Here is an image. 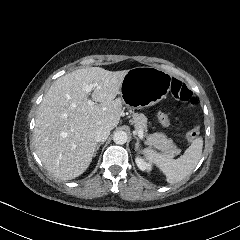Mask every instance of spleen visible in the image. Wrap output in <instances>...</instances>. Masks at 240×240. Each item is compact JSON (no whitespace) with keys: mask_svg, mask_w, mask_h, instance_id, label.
<instances>
[{"mask_svg":"<svg viewBox=\"0 0 240 240\" xmlns=\"http://www.w3.org/2000/svg\"><path fill=\"white\" fill-rule=\"evenodd\" d=\"M202 147V140L197 139L184 154L176 160L169 158L165 154H157L152 149H147L144 152L150 161L157 163L166 173L169 183H178L194 170L202 154Z\"/></svg>","mask_w":240,"mask_h":240,"instance_id":"spleen-1","label":"spleen"}]
</instances>
